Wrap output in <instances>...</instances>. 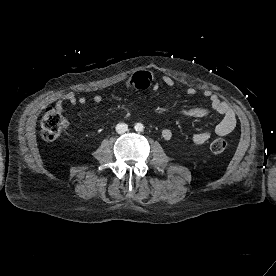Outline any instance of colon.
Wrapping results in <instances>:
<instances>
[{"mask_svg": "<svg viewBox=\"0 0 276 276\" xmlns=\"http://www.w3.org/2000/svg\"><path fill=\"white\" fill-rule=\"evenodd\" d=\"M68 121L65 116L55 108H48L41 118V135L47 141H53L60 137L67 129ZM227 141L216 138L210 144L214 153H223L227 149Z\"/></svg>", "mask_w": 276, "mask_h": 276, "instance_id": "colon-1", "label": "colon"}]
</instances>
